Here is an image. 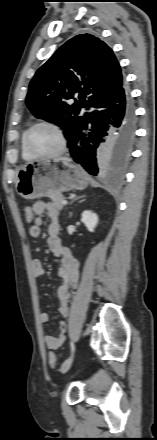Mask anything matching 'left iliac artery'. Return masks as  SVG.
Masks as SVG:
<instances>
[{"mask_svg":"<svg viewBox=\"0 0 157 440\" xmlns=\"http://www.w3.org/2000/svg\"><path fill=\"white\" fill-rule=\"evenodd\" d=\"M71 347H72V352H74V346H73V344L71 343ZM72 357V356H71Z\"/></svg>","mask_w":157,"mask_h":440,"instance_id":"left-iliac-artery-1","label":"left iliac artery"}]
</instances>
